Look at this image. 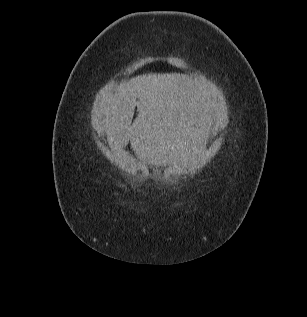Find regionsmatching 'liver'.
Returning <instances> with one entry per match:
<instances>
[{
    "instance_id": "obj_1",
    "label": "liver",
    "mask_w": 307,
    "mask_h": 317,
    "mask_svg": "<svg viewBox=\"0 0 307 317\" xmlns=\"http://www.w3.org/2000/svg\"><path fill=\"white\" fill-rule=\"evenodd\" d=\"M110 144L129 141L139 162L154 167H177L183 154L205 149L203 141L219 118L203 88L179 73H149L132 78L119 89L95 99ZM135 107L138 115L132 123ZM221 108V101L213 102Z\"/></svg>"
}]
</instances>
